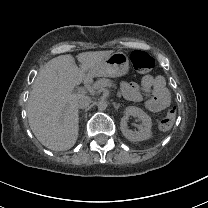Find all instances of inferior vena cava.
I'll return each instance as SVG.
<instances>
[{"label": "inferior vena cava", "mask_w": 208, "mask_h": 208, "mask_svg": "<svg viewBox=\"0 0 208 208\" xmlns=\"http://www.w3.org/2000/svg\"><path fill=\"white\" fill-rule=\"evenodd\" d=\"M91 103V98L89 96H81L78 100V107L80 109L87 108Z\"/></svg>", "instance_id": "602c4592"}]
</instances>
